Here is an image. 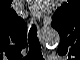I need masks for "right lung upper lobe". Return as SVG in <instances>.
Instances as JSON below:
<instances>
[{
    "mask_svg": "<svg viewBox=\"0 0 80 60\" xmlns=\"http://www.w3.org/2000/svg\"><path fill=\"white\" fill-rule=\"evenodd\" d=\"M10 14L11 17H9L7 23V36L14 47L21 48L22 44H24V46L26 45V35L23 32L24 21L19 18L13 10H11Z\"/></svg>",
    "mask_w": 80,
    "mask_h": 60,
    "instance_id": "cb5924a9",
    "label": "right lung upper lobe"
}]
</instances>
